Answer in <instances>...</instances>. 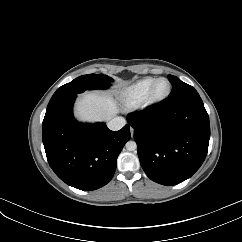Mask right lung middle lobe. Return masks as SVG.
I'll return each mask as SVG.
<instances>
[{
  "label": "right lung middle lobe",
  "mask_w": 242,
  "mask_h": 242,
  "mask_svg": "<svg viewBox=\"0 0 242 242\" xmlns=\"http://www.w3.org/2000/svg\"><path fill=\"white\" fill-rule=\"evenodd\" d=\"M112 79L103 74H88L80 76L56 90L50 102L73 94H79L85 90L105 89L110 86ZM49 102V103H50Z\"/></svg>",
  "instance_id": "right-lung-middle-lobe-1"
}]
</instances>
